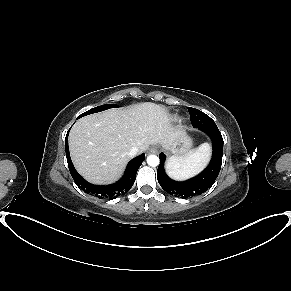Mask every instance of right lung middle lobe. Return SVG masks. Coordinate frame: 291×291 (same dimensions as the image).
I'll return each instance as SVG.
<instances>
[{
	"label": "right lung middle lobe",
	"mask_w": 291,
	"mask_h": 291,
	"mask_svg": "<svg viewBox=\"0 0 291 291\" xmlns=\"http://www.w3.org/2000/svg\"><path fill=\"white\" fill-rule=\"evenodd\" d=\"M115 107H117V105H115V104L101 105V106H98V107H95L93 109H90V110L86 111L85 113H83L80 116H78V118H81V117H83L85 115H88V114L100 112V111L107 110V109H110V108H115Z\"/></svg>",
	"instance_id": "dd1d6c3e"
}]
</instances>
